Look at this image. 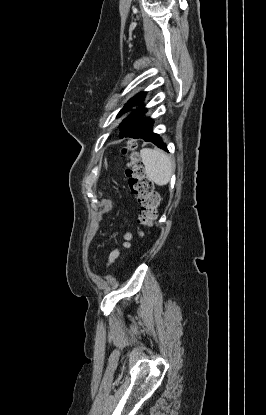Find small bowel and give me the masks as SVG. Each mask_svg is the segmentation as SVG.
<instances>
[{
    "label": "small bowel",
    "instance_id": "small-bowel-1",
    "mask_svg": "<svg viewBox=\"0 0 266 415\" xmlns=\"http://www.w3.org/2000/svg\"><path fill=\"white\" fill-rule=\"evenodd\" d=\"M125 238L127 240V242L125 243V246L128 247L129 246V240L131 238V235L130 234H127ZM118 255H119V252L118 251L112 252L111 255H110L109 262L110 263L113 262L118 257Z\"/></svg>",
    "mask_w": 266,
    "mask_h": 415
}]
</instances>
